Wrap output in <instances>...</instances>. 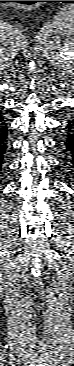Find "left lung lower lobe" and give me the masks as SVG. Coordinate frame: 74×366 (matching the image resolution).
I'll return each mask as SVG.
<instances>
[{
    "mask_svg": "<svg viewBox=\"0 0 74 366\" xmlns=\"http://www.w3.org/2000/svg\"><path fill=\"white\" fill-rule=\"evenodd\" d=\"M62 130L64 138L62 139L61 147L68 160L74 165V114L72 115V120H68Z\"/></svg>",
    "mask_w": 74,
    "mask_h": 366,
    "instance_id": "obj_1",
    "label": "left lung lower lobe"
}]
</instances>
